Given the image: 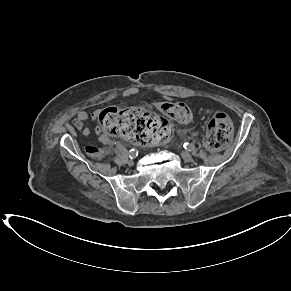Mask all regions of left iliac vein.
Here are the masks:
<instances>
[{
  "label": "left iliac vein",
  "instance_id": "1",
  "mask_svg": "<svg viewBox=\"0 0 291 291\" xmlns=\"http://www.w3.org/2000/svg\"><path fill=\"white\" fill-rule=\"evenodd\" d=\"M181 157L185 162H191L193 160L192 155L189 154L188 152H182Z\"/></svg>",
  "mask_w": 291,
  "mask_h": 291
}]
</instances>
